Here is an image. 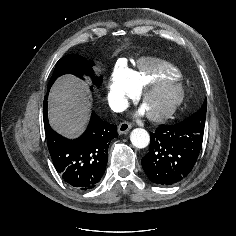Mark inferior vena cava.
I'll return each mask as SVG.
<instances>
[{"mask_svg": "<svg viewBox=\"0 0 236 236\" xmlns=\"http://www.w3.org/2000/svg\"><path fill=\"white\" fill-rule=\"evenodd\" d=\"M127 108V105L124 104L123 101L119 100V101H115L113 103V109L116 112H122Z\"/></svg>", "mask_w": 236, "mask_h": 236, "instance_id": "602c4592", "label": "inferior vena cava"}]
</instances>
